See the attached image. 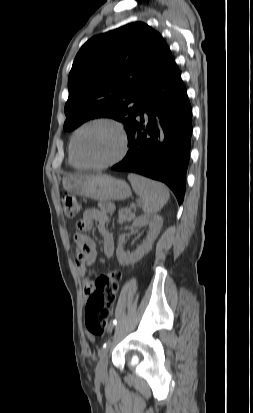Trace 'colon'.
<instances>
[{
    "label": "colon",
    "mask_w": 253,
    "mask_h": 413,
    "mask_svg": "<svg viewBox=\"0 0 253 413\" xmlns=\"http://www.w3.org/2000/svg\"><path fill=\"white\" fill-rule=\"evenodd\" d=\"M62 204L65 215L74 218L78 215L81 205L76 197L63 193ZM122 274L118 270L101 275L95 282L86 304L85 320L90 336L102 335L108 327Z\"/></svg>",
    "instance_id": "colon-1"
}]
</instances>
